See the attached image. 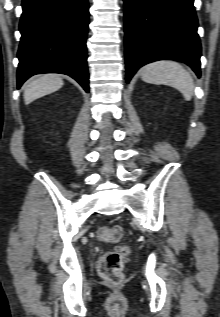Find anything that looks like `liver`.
Masks as SVG:
<instances>
[{
	"label": "liver",
	"instance_id": "1",
	"mask_svg": "<svg viewBox=\"0 0 220 317\" xmlns=\"http://www.w3.org/2000/svg\"><path fill=\"white\" fill-rule=\"evenodd\" d=\"M63 86V80L56 74H44L28 81L24 86V102L26 105L59 90Z\"/></svg>",
	"mask_w": 220,
	"mask_h": 317
}]
</instances>
